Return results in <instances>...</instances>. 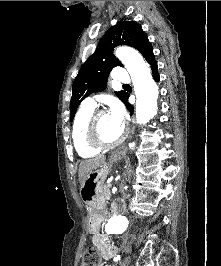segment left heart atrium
Returning a JSON list of instances; mask_svg holds the SVG:
<instances>
[{"label":"left heart atrium","mask_w":221,"mask_h":266,"mask_svg":"<svg viewBox=\"0 0 221 266\" xmlns=\"http://www.w3.org/2000/svg\"><path fill=\"white\" fill-rule=\"evenodd\" d=\"M108 116L118 126L123 127L125 122V111L121 103L114 101L110 104Z\"/></svg>","instance_id":"left-heart-atrium-1"}]
</instances>
